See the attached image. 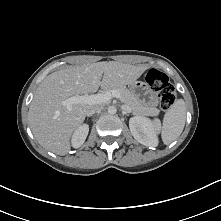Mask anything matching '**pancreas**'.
Instances as JSON below:
<instances>
[{
    "mask_svg": "<svg viewBox=\"0 0 221 221\" xmlns=\"http://www.w3.org/2000/svg\"><path fill=\"white\" fill-rule=\"evenodd\" d=\"M106 91L116 90L121 95V101L126 104L132 113L143 115H158L159 110L140 102L135 95L123 85H110L103 88Z\"/></svg>",
    "mask_w": 221,
    "mask_h": 221,
    "instance_id": "obj_1",
    "label": "pancreas"
}]
</instances>
